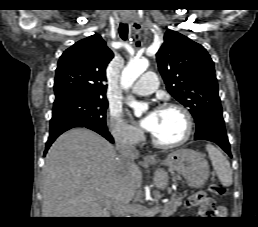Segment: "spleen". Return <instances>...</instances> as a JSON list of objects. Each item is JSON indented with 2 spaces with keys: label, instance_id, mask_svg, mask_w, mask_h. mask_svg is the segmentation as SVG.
I'll return each mask as SVG.
<instances>
[{
  "label": "spleen",
  "instance_id": "1",
  "mask_svg": "<svg viewBox=\"0 0 258 227\" xmlns=\"http://www.w3.org/2000/svg\"><path fill=\"white\" fill-rule=\"evenodd\" d=\"M209 158L212 166L223 186H230L232 184V169L229 161L215 146L211 144L206 145Z\"/></svg>",
  "mask_w": 258,
  "mask_h": 227
}]
</instances>
